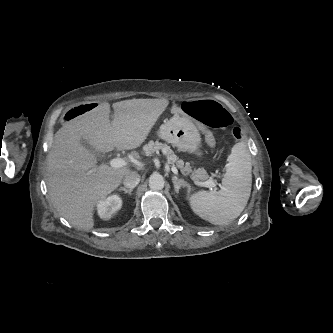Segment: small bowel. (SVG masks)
Masks as SVG:
<instances>
[{"label": "small bowel", "mask_w": 333, "mask_h": 333, "mask_svg": "<svg viewBox=\"0 0 333 333\" xmlns=\"http://www.w3.org/2000/svg\"><path fill=\"white\" fill-rule=\"evenodd\" d=\"M171 111H173L175 113V115L180 116L182 118H185V120H187L188 122H190L194 127H196L199 131H201L204 136H206V140L208 143H210V148H215V143H214V134L213 132H211V130H209L207 128V126L203 125V123L199 122L198 120L194 119V117H192L191 115L188 114V112L179 109V107L177 106H171Z\"/></svg>", "instance_id": "c3829d8e"}]
</instances>
